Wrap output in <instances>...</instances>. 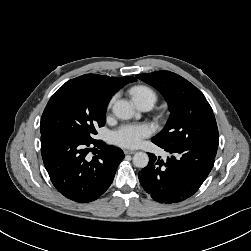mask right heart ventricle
<instances>
[{
    "mask_svg": "<svg viewBox=\"0 0 251 251\" xmlns=\"http://www.w3.org/2000/svg\"><path fill=\"white\" fill-rule=\"evenodd\" d=\"M131 94L135 102L139 100H150L154 104L157 99L155 91L145 85L135 86L132 88Z\"/></svg>",
    "mask_w": 251,
    "mask_h": 251,
    "instance_id": "1",
    "label": "right heart ventricle"
}]
</instances>
